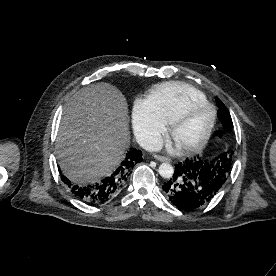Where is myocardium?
<instances>
[{
  "mask_svg": "<svg viewBox=\"0 0 276 276\" xmlns=\"http://www.w3.org/2000/svg\"><path fill=\"white\" fill-rule=\"evenodd\" d=\"M204 104L206 105L210 111H211V119L209 122V125L207 127V129L205 130V132L203 133V135L195 142L190 143L188 145H185L183 148L186 151L192 152V151H196L198 149H200L201 147H203L207 141L209 140L215 123H216V118H217V111L215 106L210 103L207 99H193L191 101H189L185 107L183 109H181L170 121V131L172 134H174V131L177 127V125L188 115V113L190 112L191 108L197 104Z\"/></svg>",
  "mask_w": 276,
  "mask_h": 276,
  "instance_id": "f54148a6",
  "label": "myocardium"
}]
</instances>
